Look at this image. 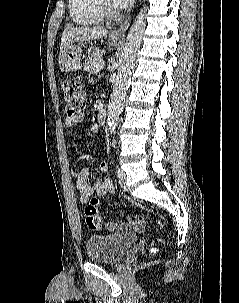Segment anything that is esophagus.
Wrapping results in <instances>:
<instances>
[{
  "instance_id": "obj_1",
  "label": "esophagus",
  "mask_w": 239,
  "mask_h": 303,
  "mask_svg": "<svg viewBox=\"0 0 239 303\" xmlns=\"http://www.w3.org/2000/svg\"><path fill=\"white\" fill-rule=\"evenodd\" d=\"M131 17L128 18L125 22H123L117 29H114L110 37L114 39H123L125 36V33L130 25Z\"/></svg>"
}]
</instances>
